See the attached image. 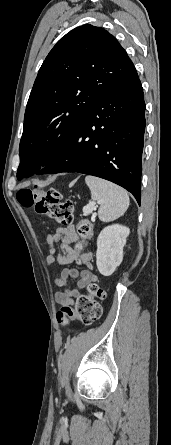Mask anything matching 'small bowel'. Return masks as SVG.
<instances>
[{
    "label": "small bowel",
    "instance_id": "1",
    "mask_svg": "<svg viewBox=\"0 0 171 445\" xmlns=\"http://www.w3.org/2000/svg\"><path fill=\"white\" fill-rule=\"evenodd\" d=\"M74 240L75 232L71 226L58 227L53 233L46 235V241L49 245V250L46 254V263L50 268H52L55 263L66 264L78 256H81L86 266L84 270L65 267L59 275H54L53 281L55 285L62 288V290L57 291L54 295L55 301L61 306L73 305L82 290L97 279L96 275L92 272L91 256L89 254L80 255L79 252L70 249V245ZM69 278L77 279L74 288L69 287Z\"/></svg>",
    "mask_w": 171,
    "mask_h": 445
}]
</instances>
